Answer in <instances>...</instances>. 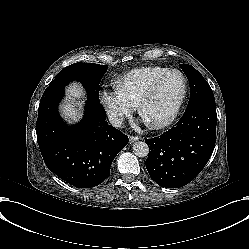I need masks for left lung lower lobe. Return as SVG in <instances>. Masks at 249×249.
Returning a JSON list of instances; mask_svg holds the SVG:
<instances>
[{"label": "left lung lower lobe", "mask_w": 249, "mask_h": 249, "mask_svg": "<svg viewBox=\"0 0 249 249\" xmlns=\"http://www.w3.org/2000/svg\"><path fill=\"white\" fill-rule=\"evenodd\" d=\"M215 101L187 108L173 128L146 139V168L159 186L178 188L191 182L208 162L216 142Z\"/></svg>", "instance_id": "obj_1"}]
</instances>
